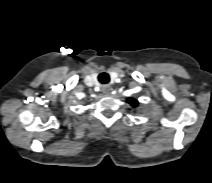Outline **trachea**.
I'll return each instance as SVG.
<instances>
[{
	"label": "trachea",
	"mask_w": 212,
	"mask_h": 183,
	"mask_svg": "<svg viewBox=\"0 0 212 183\" xmlns=\"http://www.w3.org/2000/svg\"><path fill=\"white\" fill-rule=\"evenodd\" d=\"M98 80L102 84H107L110 80L109 75L107 73H100L98 76Z\"/></svg>",
	"instance_id": "obj_1"
}]
</instances>
